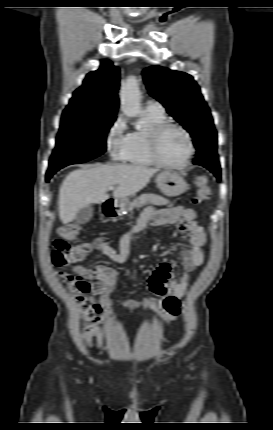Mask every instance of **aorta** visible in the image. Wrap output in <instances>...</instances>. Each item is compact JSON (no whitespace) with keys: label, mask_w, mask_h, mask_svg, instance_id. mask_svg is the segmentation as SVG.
<instances>
[{"label":"aorta","mask_w":273,"mask_h":430,"mask_svg":"<svg viewBox=\"0 0 273 430\" xmlns=\"http://www.w3.org/2000/svg\"><path fill=\"white\" fill-rule=\"evenodd\" d=\"M121 109L128 117H136L142 113L141 93L135 77H129L120 91Z\"/></svg>","instance_id":"1"}]
</instances>
